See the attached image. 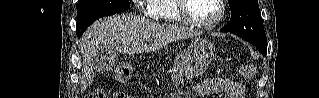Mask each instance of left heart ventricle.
Returning a JSON list of instances; mask_svg holds the SVG:
<instances>
[{
    "label": "left heart ventricle",
    "instance_id": "1",
    "mask_svg": "<svg viewBox=\"0 0 319 98\" xmlns=\"http://www.w3.org/2000/svg\"><path fill=\"white\" fill-rule=\"evenodd\" d=\"M187 11L197 20L211 21L219 14L220 7L216 0H188Z\"/></svg>",
    "mask_w": 319,
    "mask_h": 98
}]
</instances>
